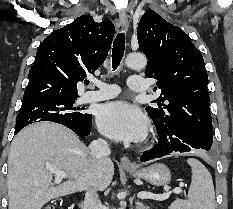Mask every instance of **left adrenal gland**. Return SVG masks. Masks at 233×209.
Instances as JSON below:
<instances>
[{
	"label": "left adrenal gland",
	"mask_w": 233,
	"mask_h": 209,
	"mask_svg": "<svg viewBox=\"0 0 233 209\" xmlns=\"http://www.w3.org/2000/svg\"><path fill=\"white\" fill-rule=\"evenodd\" d=\"M136 209H150L148 206L144 205L142 202H136Z\"/></svg>",
	"instance_id": "a2214340"
}]
</instances>
